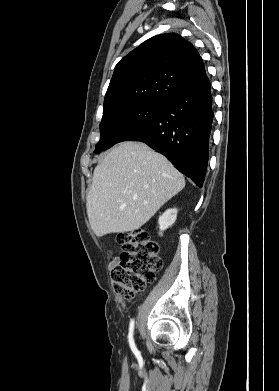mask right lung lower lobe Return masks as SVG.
<instances>
[{
	"label": "right lung lower lobe",
	"instance_id": "obj_1",
	"mask_svg": "<svg viewBox=\"0 0 279 391\" xmlns=\"http://www.w3.org/2000/svg\"><path fill=\"white\" fill-rule=\"evenodd\" d=\"M213 116L211 85L206 76L166 101L151 122L133 131L124 141L146 143L202 187Z\"/></svg>",
	"mask_w": 279,
	"mask_h": 391
}]
</instances>
